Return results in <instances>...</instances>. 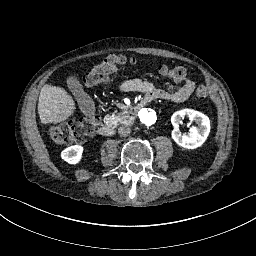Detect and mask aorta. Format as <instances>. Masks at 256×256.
<instances>
[{
    "instance_id": "762f6f07",
    "label": "aorta",
    "mask_w": 256,
    "mask_h": 256,
    "mask_svg": "<svg viewBox=\"0 0 256 256\" xmlns=\"http://www.w3.org/2000/svg\"><path fill=\"white\" fill-rule=\"evenodd\" d=\"M140 119L146 124H153L157 120V113L151 107H144L140 111Z\"/></svg>"
}]
</instances>
